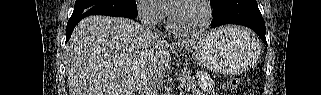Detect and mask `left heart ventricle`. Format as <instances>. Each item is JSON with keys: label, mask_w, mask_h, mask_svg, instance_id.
<instances>
[{"label": "left heart ventricle", "mask_w": 321, "mask_h": 95, "mask_svg": "<svg viewBox=\"0 0 321 95\" xmlns=\"http://www.w3.org/2000/svg\"><path fill=\"white\" fill-rule=\"evenodd\" d=\"M170 18L177 29L192 30L203 23L204 12L198 3L187 2L176 6L172 10Z\"/></svg>", "instance_id": "obj_1"}]
</instances>
